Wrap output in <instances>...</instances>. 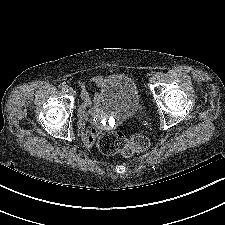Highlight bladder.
Returning a JSON list of instances; mask_svg holds the SVG:
<instances>
[{"label":"bladder","mask_w":225,"mask_h":225,"mask_svg":"<svg viewBox=\"0 0 225 225\" xmlns=\"http://www.w3.org/2000/svg\"><path fill=\"white\" fill-rule=\"evenodd\" d=\"M98 98L106 110L127 118L139 115L144 109L137 84L124 74L107 77L100 86Z\"/></svg>","instance_id":"bladder-1"}]
</instances>
